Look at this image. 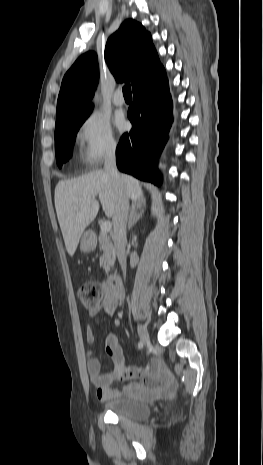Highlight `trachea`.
Instances as JSON below:
<instances>
[{
    "label": "trachea",
    "mask_w": 263,
    "mask_h": 465,
    "mask_svg": "<svg viewBox=\"0 0 263 465\" xmlns=\"http://www.w3.org/2000/svg\"><path fill=\"white\" fill-rule=\"evenodd\" d=\"M123 95L124 96H132L130 84H127V85H125L123 87Z\"/></svg>",
    "instance_id": "1"
}]
</instances>
